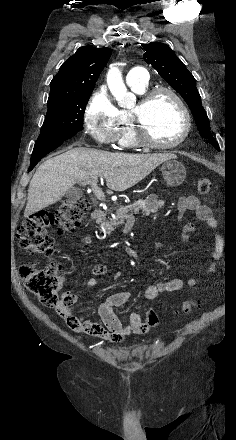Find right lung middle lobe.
<instances>
[{
    "instance_id": "obj_1",
    "label": "right lung middle lobe",
    "mask_w": 236,
    "mask_h": 440,
    "mask_svg": "<svg viewBox=\"0 0 236 440\" xmlns=\"http://www.w3.org/2000/svg\"><path fill=\"white\" fill-rule=\"evenodd\" d=\"M90 94L48 103V111L37 140L74 136L81 131L83 129V115Z\"/></svg>"
}]
</instances>
